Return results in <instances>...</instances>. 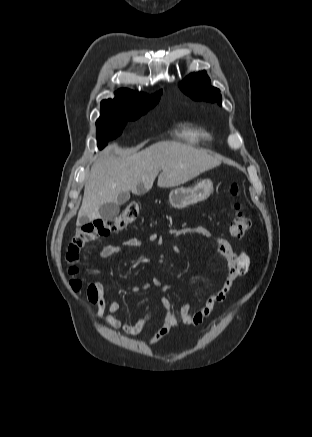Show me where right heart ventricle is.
Listing matches in <instances>:
<instances>
[{
    "label": "right heart ventricle",
    "mask_w": 312,
    "mask_h": 437,
    "mask_svg": "<svg viewBox=\"0 0 312 437\" xmlns=\"http://www.w3.org/2000/svg\"><path fill=\"white\" fill-rule=\"evenodd\" d=\"M182 135L191 141H197L208 136L203 128L191 122L183 125Z\"/></svg>",
    "instance_id": "e07e8e85"
}]
</instances>
